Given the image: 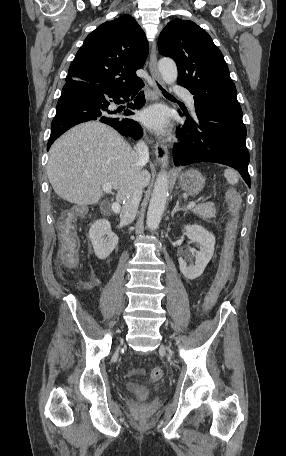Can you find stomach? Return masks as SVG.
<instances>
[{
    "instance_id": "0dacf381",
    "label": "stomach",
    "mask_w": 286,
    "mask_h": 456,
    "mask_svg": "<svg viewBox=\"0 0 286 456\" xmlns=\"http://www.w3.org/2000/svg\"><path fill=\"white\" fill-rule=\"evenodd\" d=\"M181 188L191 196L198 195L205 186V179L196 169H189L179 175Z\"/></svg>"
}]
</instances>
